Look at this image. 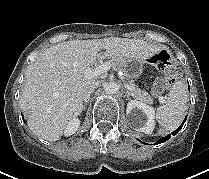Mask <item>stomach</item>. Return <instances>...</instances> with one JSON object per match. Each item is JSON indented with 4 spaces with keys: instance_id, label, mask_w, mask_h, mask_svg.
I'll use <instances>...</instances> for the list:
<instances>
[{
    "instance_id": "obj_1",
    "label": "stomach",
    "mask_w": 209,
    "mask_h": 179,
    "mask_svg": "<svg viewBox=\"0 0 209 179\" xmlns=\"http://www.w3.org/2000/svg\"><path fill=\"white\" fill-rule=\"evenodd\" d=\"M125 80H135L142 75L143 61L140 59H124L120 62Z\"/></svg>"
}]
</instances>
